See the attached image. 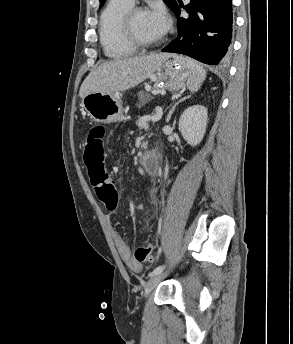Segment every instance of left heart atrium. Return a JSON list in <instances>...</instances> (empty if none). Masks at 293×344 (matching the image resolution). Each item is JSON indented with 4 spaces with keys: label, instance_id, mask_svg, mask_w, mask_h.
<instances>
[{
    "label": "left heart atrium",
    "instance_id": "left-heart-atrium-1",
    "mask_svg": "<svg viewBox=\"0 0 293 344\" xmlns=\"http://www.w3.org/2000/svg\"><path fill=\"white\" fill-rule=\"evenodd\" d=\"M148 17L154 28L161 34H165L169 29V18L162 6H155L147 12Z\"/></svg>",
    "mask_w": 293,
    "mask_h": 344
}]
</instances>
